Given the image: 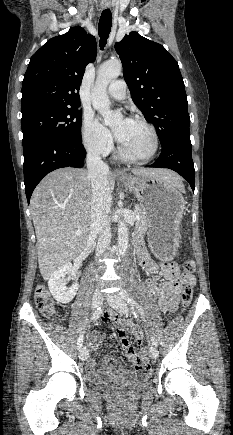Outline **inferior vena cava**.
Segmentation results:
<instances>
[{
	"instance_id": "obj_1",
	"label": "inferior vena cava",
	"mask_w": 233,
	"mask_h": 435,
	"mask_svg": "<svg viewBox=\"0 0 233 435\" xmlns=\"http://www.w3.org/2000/svg\"><path fill=\"white\" fill-rule=\"evenodd\" d=\"M88 178L92 186L90 235H99L96 254L100 256L108 248L111 241V229L108 214L111 208V191L107 174L109 167L98 153L87 154Z\"/></svg>"
}]
</instances>
